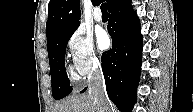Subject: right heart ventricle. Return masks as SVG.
<instances>
[{
	"label": "right heart ventricle",
	"instance_id": "obj_1",
	"mask_svg": "<svg viewBox=\"0 0 193 112\" xmlns=\"http://www.w3.org/2000/svg\"><path fill=\"white\" fill-rule=\"evenodd\" d=\"M71 77H72V79H75V78H76L75 75H73V74H71Z\"/></svg>",
	"mask_w": 193,
	"mask_h": 112
}]
</instances>
